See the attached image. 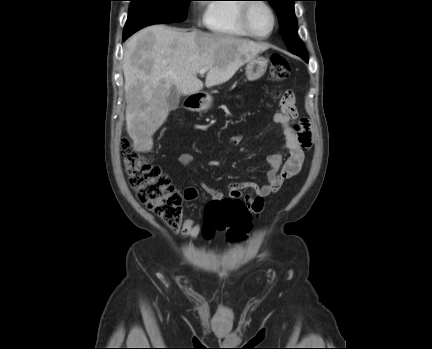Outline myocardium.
I'll return each instance as SVG.
<instances>
[{"mask_svg":"<svg viewBox=\"0 0 432 349\" xmlns=\"http://www.w3.org/2000/svg\"><path fill=\"white\" fill-rule=\"evenodd\" d=\"M249 1H251V2H246L245 4L241 5L240 12H239L240 26L246 32V34L252 38H255L258 40L268 39L273 34V32L275 31V29L277 27V15H276L275 9L273 8V6L269 2H267L265 0H249ZM255 4H262V5L266 6L268 8V10L270 11L271 16H272V20H273L272 27H271L270 31L265 35L256 34L252 30L250 23H249V13Z\"/></svg>","mask_w":432,"mask_h":349,"instance_id":"1","label":"myocardium"}]
</instances>
